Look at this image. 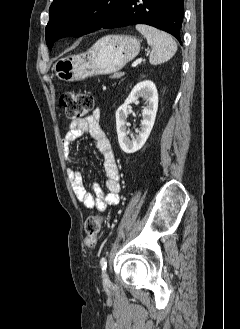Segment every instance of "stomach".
<instances>
[{
	"instance_id": "0dacf381",
	"label": "stomach",
	"mask_w": 240,
	"mask_h": 329,
	"mask_svg": "<svg viewBox=\"0 0 240 329\" xmlns=\"http://www.w3.org/2000/svg\"><path fill=\"white\" fill-rule=\"evenodd\" d=\"M140 51V42L128 35H107L88 51L58 59L52 70L58 79L73 82L122 69Z\"/></svg>"
}]
</instances>
